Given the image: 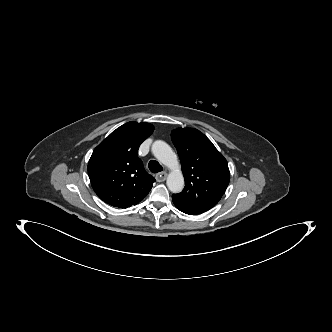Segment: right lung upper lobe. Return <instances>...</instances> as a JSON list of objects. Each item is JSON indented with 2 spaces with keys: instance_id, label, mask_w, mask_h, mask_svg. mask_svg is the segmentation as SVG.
<instances>
[{
  "instance_id": "1",
  "label": "right lung upper lobe",
  "mask_w": 332,
  "mask_h": 332,
  "mask_svg": "<svg viewBox=\"0 0 332 332\" xmlns=\"http://www.w3.org/2000/svg\"><path fill=\"white\" fill-rule=\"evenodd\" d=\"M153 130L149 123L128 122L94 149L88 174L95 193L105 203L127 208L151 190L155 179L145 171L138 149Z\"/></svg>"
}]
</instances>
